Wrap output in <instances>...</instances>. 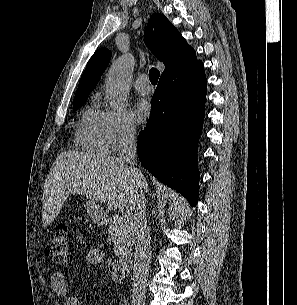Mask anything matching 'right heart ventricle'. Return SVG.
Listing matches in <instances>:
<instances>
[{"label":"right heart ventricle","instance_id":"e07e8e85","mask_svg":"<svg viewBox=\"0 0 297 305\" xmlns=\"http://www.w3.org/2000/svg\"><path fill=\"white\" fill-rule=\"evenodd\" d=\"M105 120L106 113L95 104H89L82 110L75 130V141L81 150L97 154L108 152Z\"/></svg>","mask_w":297,"mask_h":305}]
</instances>
